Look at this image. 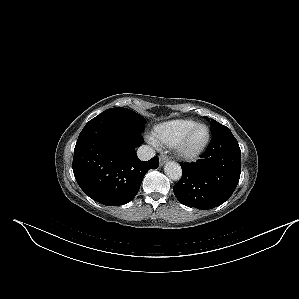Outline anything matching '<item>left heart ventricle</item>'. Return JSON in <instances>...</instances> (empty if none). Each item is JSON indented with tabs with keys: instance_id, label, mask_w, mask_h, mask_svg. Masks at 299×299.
<instances>
[{
	"instance_id": "b2bd125f",
	"label": "left heart ventricle",
	"mask_w": 299,
	"mask_h": 299,
	"mask_svg": "<svg viewBox=\"0 0 299 299\" xmlns=\"http://www.w3.org/2000/svg\"><path fill=\"white\" fill-rule=\"evenodd\" d=\"M205 137L206 130L203 127L196 129L189 139L188 148L195 149L199 147L205 140Z\"/></svg>"
}]
</instances>
